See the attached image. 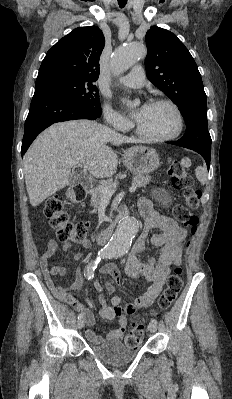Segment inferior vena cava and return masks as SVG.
I'll return each instance as SVG.
<instances>
[{
    "instance_id": "obj_1",
    "label": "inferior vena cava",
    "mask_w": 232,
    "mask_h": 399,
    "mask_svg": "<svg viewBox=\"0 0 232 399\" xmlns=\"http://www.w3.org/2000/svg\"><path fill=\"white\" fill-rule=\"evenodd\" d=\"M105 122H108V124H109V122H110V118H109V116H106V118H105Z\"/></svg>"
}]
</instances>
